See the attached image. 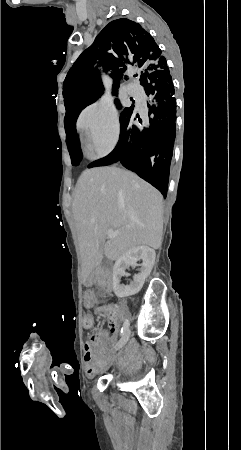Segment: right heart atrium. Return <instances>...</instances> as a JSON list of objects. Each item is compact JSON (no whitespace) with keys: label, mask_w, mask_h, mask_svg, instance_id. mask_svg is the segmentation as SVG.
<instances>
[{"label":"right heart atrium","mask_w":241,"mask_h":450,"mask_svg":"<svg viewBox=\"0 0 241 450\" xmlns=\"http://www.w3.org/2000/svg\"><path fill=\"white\" fill-rule=\"evenodd\" d=\"M79 127L85 128L88 155L102 158L113 151L120 132L118 116L113 107L105 104L91 106L81 117Z\"/></svg>","instance_id":"obj_1"}]
</instances>
